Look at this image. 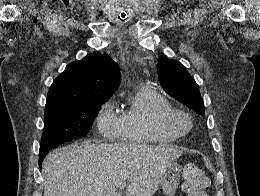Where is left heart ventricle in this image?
<instances>
[{
	"mask_svg": "<svg viewBox=\"0 0 260 196\" xmlns=\"http://www.w3.org/2000/svg\"><path fill=\"white\" fill-rule=\"evenodd\" d=\"M154 114H155V120H157L159 118V111L158 110H155L154 111Z\"/></svg>",
	"mask_w": 260,
	"mask_h": 196,
	"instance_id": "1",
	"label": "left heart ventricle"
}]
</instances>
